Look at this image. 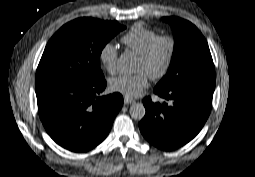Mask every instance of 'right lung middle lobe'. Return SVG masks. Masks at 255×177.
<instances>
[{"mask_svg":"<svg viewBox=\"0 0 255 177\" xmlns=\"http://www.w3.org/2000/svg\"><path fill=\"white\" fill-rule=\"evenodd\" d=\"M117 22L79 18L61 27L49 40L36 72V84L47 80L95 82L104 77L100 54L117 33Z\"/></svg>","mask_w":255,"mask_h":177,"instance_id":"obj_1","label":"right lung middle lobe"}]
</instances>
